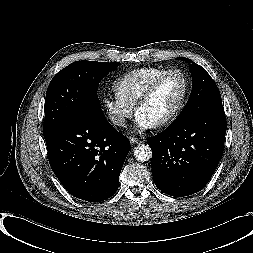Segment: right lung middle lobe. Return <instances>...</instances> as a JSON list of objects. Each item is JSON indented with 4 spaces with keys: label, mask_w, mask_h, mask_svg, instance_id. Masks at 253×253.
<instances>
[{
    "label": "right lung middle lobe",
    "mask_w": 253,
    "mask_h": 253,
    "mask_svg": "<svg viewBox=\"0 0 253 253\" xmlns=\"http://www.w3.org/2000/svg\"><path fill=\"white\" fill-rule=\"evenodd\" d=\"M119 65V62L76 61L59 71L46 93L44 137L79 114L103 115L97 96L98 85Z\"/></svg>",
    "instance_id": "dd1d6c3e"
}]
</instances>
